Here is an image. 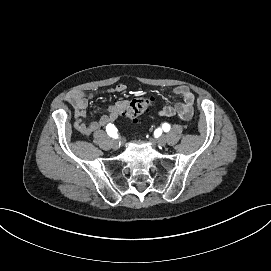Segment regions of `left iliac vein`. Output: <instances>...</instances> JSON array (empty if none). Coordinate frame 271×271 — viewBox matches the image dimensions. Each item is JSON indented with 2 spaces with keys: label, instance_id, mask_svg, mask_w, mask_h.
Here are the masks:
<instances>
[{
  "label": "left iliac vein",
  "instance_id": "left-iliac-vein-1",
  "mask_svg": "<svg viewBox=\"0 0 271 271\" xmlns=\"http://www.w3.org/2000/svg\"><path fill=\"white\" fill-rule=\"evenodd\" d=\"M155 142L160 146H164L167 143L166 136L158 137Z\"/></svg>",
  "mask_w": 271,
  "mask_h": 271
}]
</instances>
